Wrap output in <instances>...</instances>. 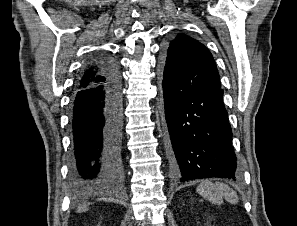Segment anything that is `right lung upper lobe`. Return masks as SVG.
Here are the masks:
<instances>
[{
  "mask_svg": "<svg viewBox=\"0 0 297 226\" xmlns=\"http://www.w3.org/2000/svg\"><path fill=\"white\" fill-rule=\"evenodd\" d=\"M98 61L89 65V67L84 71L78 81L77 89L86 88L94 83L101 82L104 79L102 76V70L97 64Z\"/></svg>",
  "mask_w": 297,
  "mask_h": 226,
  "instance_id": "obj_1",
  "label": "right lung upper lobe"
}]
</instances>
